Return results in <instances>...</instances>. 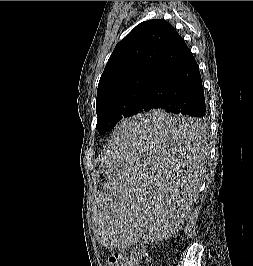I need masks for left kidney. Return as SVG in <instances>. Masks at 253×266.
Instances as JSON below:
<instances>
[{
  "label": "left kidney",
  "instance_id": "1",
  "mask_svg": "<svg viewBox=\"0 0 253 266\" xmlns=\"http://www.w3.org/2000/svg\"><path fill=\"white\" fill-rule=\"evenodd\" d=\"M189 204H191L190 201H189L188 203H186V204L183 206V208L189 209Z\"/></svg>",
  "mask_w": 253,
  "mask_h": 266
}]
</instances>
